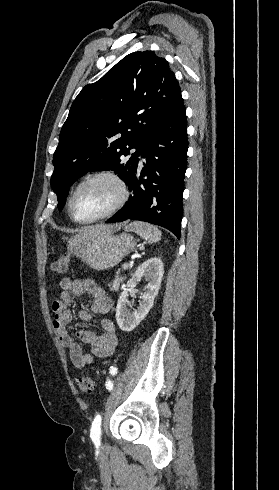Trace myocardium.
Instances as JSON below:
<instances>
[{"instance_id":"obj_1","label":"myocardium","mask_w":279,"mask_h":490,"mask_svg":"<svg viewBox=\"0 0 279 490\" xmlns=\"http://www.w3.org/2000/svg\"><path fill=\"white\" fill-rule=\"evenodd\" d=\"M93 180H106L111 182L116 190H117V197L115 200L108 206L106 207L103 211H101L99 214L89 218V219H77L74 215L73 211V204L74 200L76 198V195L79 191V189L87 182L93 181ZM129 198V189L128 186L125 182V180L114 170L112 169H99L95 170L92 172L87 173L83 177H81L73 186L69 202H68V210L71 218L78 224H90L99 220H102L117 211H119L127 202Z\"/></svg>"}]
</instances>
